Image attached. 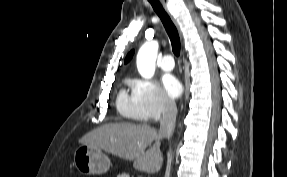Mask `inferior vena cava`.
I'll use <instances>...</instances> for the list:
<instances>
[{
    "instance_id": "inferior-vena-cava-1",
    "label": "inferior vena cava",
    "mask_w": 287,
    "mask_h": 177,
    "mask_svg": "<svg viewBox=\"0 0 287 177\" xmlns=\"http://www.w3.org/2000/svg\"><path fill=\"white\" fill-rule=\"evenodd\" d=\"M176 116L177 107L175 101L170 98H164L159 130L161 138H171L175 129Z\"/></svg>"
}]
</instances>
